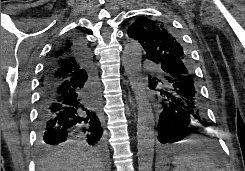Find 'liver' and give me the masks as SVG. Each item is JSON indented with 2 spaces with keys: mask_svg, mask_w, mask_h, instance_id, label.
I'll return each mask as SVG.
<instances>
[{
  "mask_svg": "<svg viewBox=\"0 0 245 171\" xmlns=\"http://www.w3.org/2000/svg\"><path fill=\"white\" fill-rule=\"evenodd\" d=\"M39 171H104L102 161L81 149H62L39 162Z\"/></svg>",
  "mask_w": 245,
  "mask_h": 171,
  "instance_id": "6515ba94",
  "label": "liver"
}]
</instances>
